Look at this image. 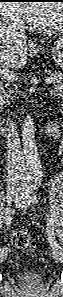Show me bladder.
<instances>
[{
    "instance_id": "1",
    "label": "bladder",
    "mask_w": 63,
    "mask_h": 297,
    "mask_svg": "<svg viewBox=\"0 0 63 297\" xmlns=\"http://www.w3.org/2000/svg\"><path fill=\"white\" fill-rule=\"evenodd\" d=\"M17 277L19 279H26V278L38 279L40 275L37 273H19Z\"/></svg>"
}]
</instances>
